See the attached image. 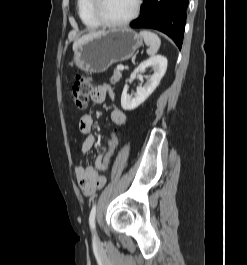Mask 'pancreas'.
Listing matches in <instances>:
<instances>
[{
    "label": "pancreas",
    "instance_id": "cf45deb5",
    "mask_svg": "<svg viewBox=\"0 0 247 265\" xmlns=\"http://www.w3.org/2000/svg\"><path fill=\"white\" fill-rule=\"evenodd\" d=\"M121 77H122L121 70L116 69L110 80L112 83H117L121 79Z\"/></svg>",
    "mask_w": 247,
    "mask_h": 265
}]
</instances>
